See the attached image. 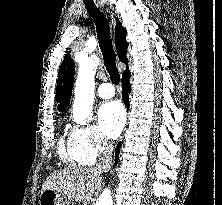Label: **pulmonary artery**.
I'll list each match as a JSON object with an SVG mask.
<instances>
[{
  "instance_id": "obj_1",
  "label": "pulmonary artery",
  "mask_w": 222,
  "mask_h": 205,
  "mask_svg": "<svg viewBox=\"0 0 222 205\" xmlns=\"http://www.w3.org/2000/svg\"><path fill=\"white\" fill-rule=\"evenodd\" d=\"M98 95L103 99H109L115 95V89L111 83H103L98 88Z\"/></svg>"
}]
</instances>
